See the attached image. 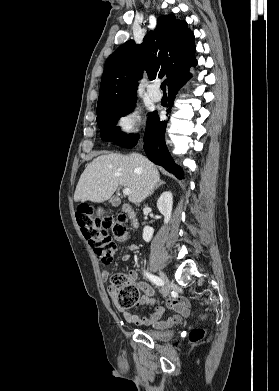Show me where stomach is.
Returning a JSON list of instances; mask_svg holds the SVG:
<instances>
[{
	"label": "stomach",
	"mask_w": 279,
	"mask_h": 391,
	"mask_svg": "<svg viewBox=\"0 0 279 391\" xmlns=\"http://www.w3.org/2000/svg\"><path fill=\"white\" fill-rule=\"evenodd\" d=\"M97 212L100 214V213H102V210H101V209H98V211H97Z\"/></svg>",
	"instance_id": "obj_1"
}]
</instances>
